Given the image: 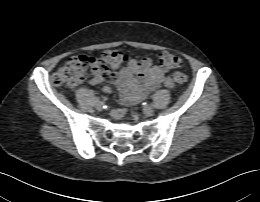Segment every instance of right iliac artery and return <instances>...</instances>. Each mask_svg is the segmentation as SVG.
<instances>
[{"mask_svg": "<svg viewBox=\"0 0 260 202\" xmlns=\"http://www.w3.org/2000/svg\"><path fill=\"white\" fill-rule=\"evenodd\" d=\"M96 100H97V101H100V100H101V97H97Z\"/></svg>", "mask_w": 260, "mask_h": 202, "instance_id": "82829eb1", "label": "right iliac artery"}]
</instances>
